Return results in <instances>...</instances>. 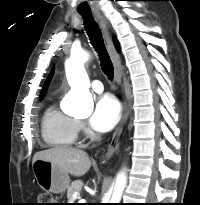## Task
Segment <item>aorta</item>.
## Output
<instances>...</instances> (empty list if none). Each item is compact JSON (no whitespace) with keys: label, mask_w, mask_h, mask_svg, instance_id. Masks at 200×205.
<instances>
[{"label":"aorta","mask_w":200,"mask_h":205,"mask_svg":"<svg viewBox=\"0 0 200 205\" xmlns=\"http://www.w3.org/2000/svg\"><path fill=\"white\" fill-rule=\"evenodd\" d=\"M87 59L88 54L81 50L72 54L71 58L65 63L66 76L71 86L68 95L70 100L69 110L82 117L89 116L93 111L92 95L89 92L90 81L84 68ZM126 185L127 173L124 169L117 176L112 196L104 199L103 203H120Z\"/></svg>","instance_id":"1"}]
</instances>
